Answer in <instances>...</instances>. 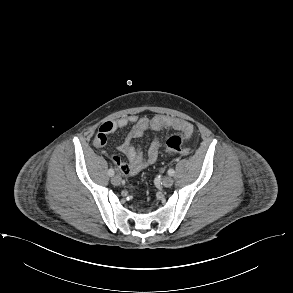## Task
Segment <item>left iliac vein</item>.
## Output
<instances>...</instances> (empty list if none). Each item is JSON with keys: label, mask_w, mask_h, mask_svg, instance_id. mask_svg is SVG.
Instances as JSON below:
<instances>
[{"label": "left iliac vein", "mask_w": 293, "mask_h": 293, "mask_svg": "<svg viewBox=\"0 0 293 293\" xmlns=\"http://www.w3.org/2000/svg\"><path fill=\"white\" fill-rule=\"evenodd\" d=\"M162 182L165 187H171L173 185V179L170 176L164 177Z\"/></svg>", "instance_id": "left-iliac-vein-1"}]
</instances>
